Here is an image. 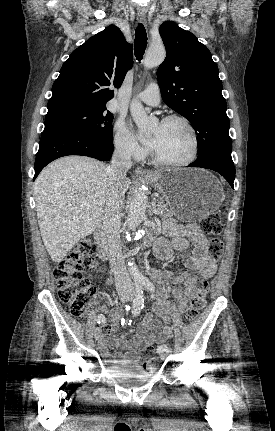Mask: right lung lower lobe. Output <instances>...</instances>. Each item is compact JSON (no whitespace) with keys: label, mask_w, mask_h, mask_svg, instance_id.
Masks as SVG:
<instances>
[{"label":"right lung lower lobe","mask_w":275,"mask_h":431,"mask_svg":"<svg viewBox=\"0 0 275 431\" xmlns=\"http://www.w3.org/2000/svg\"><path fill=\"white\" fill-rule=\"evenodd\" d=\"M113 151V142L101 137L68 130L43 132L35 160L33 180L47 164L59 157L84 155L107 161Z\"/></svg>","instance_id":"98d812e1"}]
</instances>
